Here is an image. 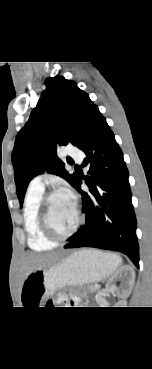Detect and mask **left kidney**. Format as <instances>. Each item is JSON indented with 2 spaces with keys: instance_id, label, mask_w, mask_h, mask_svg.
<instances>
[{
  "instance_id": "1",
  "label": "left kidney",
  "mask_w": 152,
  "mask_h": 369,
  "mask_svg": "<svg viewBox=\"0 0 152 369\" xmlns=\"http://www.w3.org/2000/svg\"><path fill=\"white\" fill-rule=\"evenodd\" d=\"M123 277L125 284L122 291L118 292L115 286V280ZM135 282V271L130 266H123L120 268L106 283V290L110 292H117L120 298H127L130 295L133 284Z\"/></svg>"
}]
</instances>
